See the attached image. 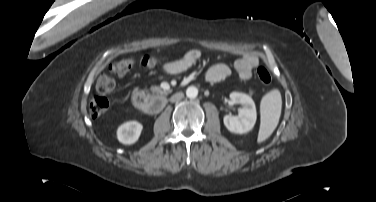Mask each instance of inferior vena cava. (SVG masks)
Instances as JSON below:
<instances>
[{"mask_svg":"<svg viewBox=\"0 0 376 202\" xmlns=\"http://www.w3.org/2000/svg\"><path fill=\"white\" fill-rule=\"evenodd\" d=\"M183 97L182 93H177L173 96L172 101L180 100Z\"/></svg>","mask_w":376,"mask_h":202,"instance_id":"inferior-vena-cava-1","label":"inferior vena cava"}]
</instances>
